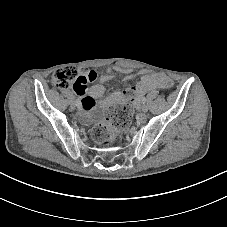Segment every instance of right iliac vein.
<instances>
[{"mask_svg": "<svg viewBox=\"0 0 227 227\" xmlns=\"http://www.w3.org/2000/svg\"><path fill=\"white\" fill-rule=\"evenodd\" d=\"M70 105H71V108H72V109H75V107H76V102H72Z\"/></svg>", "mask_w": 227, "mask_h": 227, "instance_id": "obj_1", "label": "right iliac vein"}]
</instances>
